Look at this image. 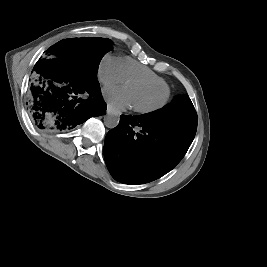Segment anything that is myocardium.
Masks as SVG:
<instances>
[{
  "label": "myocardium",
  "mask_w": 267,
  "mask_h": 267,
  "mask_svg": "<svg viewBox=\"0 0 267 267\" xmlns=\"http://www.w3.org/2000/svg\"><path fill=\"white\" fill-rule=\"evenodd\" d=\"M131 82L148 83V84H150V85H152L154 87H161V88L165 89V96L161 99L160 102H158L155 105L149 106V107H137V106H133V110L135 112L143 113V114L152 113V112H155V111L163 108L167 104V102H168V100L170 98V89H169V87L164 86L160 82H157V81L151 80L149 78H145V77H139V76L130 77V78H128L126 80V84H129Z\"/></svg>",
  "instance_id": "myocardium-1"
}]
</instances>
